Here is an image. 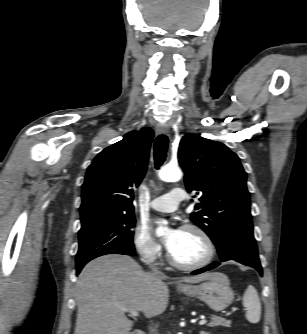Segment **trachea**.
<instances>
[{
	"label": "trachea",
	"mask_w": 307,
	"mask_h": 334,
	"mask_svg": "<svg viewBox=\"0 0 307 334\" xmlns=\"http://www.w3.org/2000/svg\"><path fill=\"white\" fill-rule=\"evenodd\" d=\"M167 148H168L167 136L159 135L154 143V160L156 169H159V167L164 163L166 159Z\"/></svg>",
	"instance_id": "3493384b"
}]
</instances>
